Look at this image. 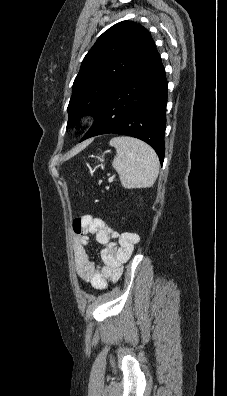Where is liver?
Listing matches in <instances>:
<instances>
[{
	"label": "liver",
	"mask_w": 227,
	"mask_h": 396,
	"mask_svg": "<svg viewBox=\"0 0 227 396\" xmlns=\"http://www.w3.org/2000/svg\"><path fill=\"white\" fill-rule=\"evenodd\" d=\"M86 145H87V144H83V145L79 146L78 148H76V149L74 150L73 153L75 154V153L79 152V151L82 150Z\"/></svg>",
	"instance_id": "obj_1"
}]
</instances>
